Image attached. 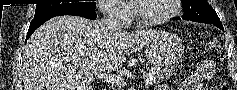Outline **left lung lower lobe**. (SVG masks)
Masks as SVG:
<instances>
[{
    "mask_svg": "<svg viewBox=\"0 0 237 90\" xmlns=\"http://www.w3.org/2000/svg\"><path fill=\"white\" fill-rule=\"evenodd\" d=\"M179 18H174L173 20H178ZM215 26H217V27H219L221 30H223L224 31V29H223V26L222 25H215Z\"/></svg>",
    "mask_w": 237,
    "mask_h": 90,
    "instance_id": "obj_1",
    "label": "left lung lower lobe"
}]
</instances>
